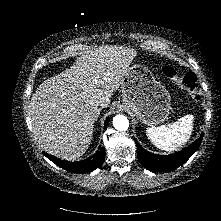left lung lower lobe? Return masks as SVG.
I'll use <instances>...</instances> for the list:
<instances>
[{"label": "left lung lower lobe", "mask_w": 221, "mask_h": 221, "mask_svg": "<svg viewBox=\"0 0 221 221\" xmlns=\"http://www.w3.org/2000/svg\"><path fill=\"white\" fill-rule=\"evenodd\" d=\"M202 138L203 134L190 146L171 155H157L150 153L143 149L135 140L137 146V157L142 166L149 170L158 172L173 170L184 164L194 154L200 146Z\"/></svg>", "instance_id": "obj_1"}]
</instances>
